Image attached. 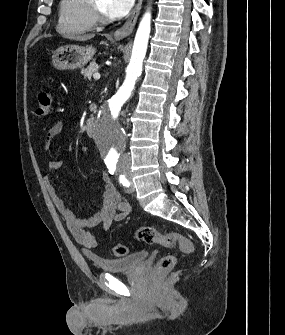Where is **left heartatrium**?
Segmentation results:
<instances>
[{
    "label": "left heart atrium",
    "instance_id": "39dd6f15",
    "mask_svg": "<svg viewBox=\"0 0 285 335\" xmlns=\"http://www.w3.org/2000/svg\"><path fill=\"white\" fill-rule=\"evenodd\" d=\"M105 13L111 20L123 17L133 6L134 1H102Z\"/></svg>",
    "mask_w": 285,
    "mask_h": 335
}]
</instances>
